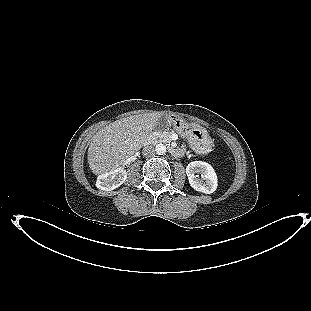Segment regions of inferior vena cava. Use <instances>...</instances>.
Here are the masks:
<instances>
[{"instance_id":"602c4592","label":"inferior vena cava","mask_w":311,"mask_h":311,"mask_svg":"<svg viewBox=\"0 0 311 311\" xmlns=\"http://www.w3.org/2000/svg\"><path fill=\"white\" fill-rule=\"evenodd\" d=\"M142 153L146 157L153 156L155 153L154 147L152 145L145 146Z\"/></svg>"}]
</instances>
